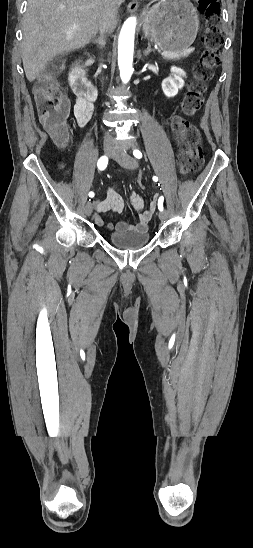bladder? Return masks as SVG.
Here are the masks:
<instances>
[{
    "mask_svg": "<svg viewBox=\"0 0 253 548\" xmlns=\"http://www.w3.org/2000/svg\"><path fill=\"white\" fill-rule=\"evenodd\" d=\"M109 242L116 248L136 250L146 246L150 240L148 232H113L108 236Z\"/></svg>",
    "mask_w": 253,
    "mask_h": 548,
    "instance_id": "obj_1",
    "label": "bladder"
}]
</instances>
